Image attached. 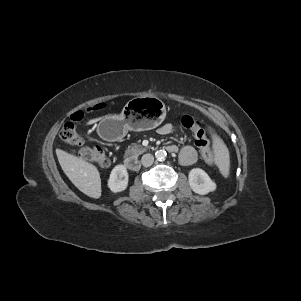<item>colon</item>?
<instances>
[{"instance_id":"5ec220e1","label":"colon","mask_w":301,"mask_h":301,"mask_svg":"<svg viewBox=\"0 0 301 301\" xmlns=\"http://www.w3.org/2000/svg\"><path fill=\"white\" fill-rule=\"evenodd\" d=\"M103 106V104H98L90 108V110H98ZM83 117L84 113L82 111L75 112L71 115L70 120L63 125L60 131V137L65 143L73 146H83L84 138L76 127V124L80 122ZM181 123L185 128L192 131L195 138V145L200 149L203 159L208 164L213 165L214 158L209 141L200 122L190 115H185L183 116ZM78 155L83 160L101 168H105L110 164L108 156L99 146L81 147L78 151Z\"/></svg>"}]
</instances>
